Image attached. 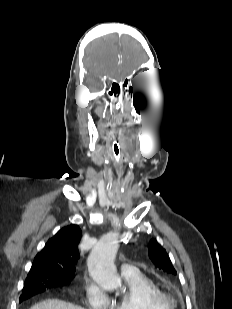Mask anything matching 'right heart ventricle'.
Listing matches in <instances>:
<instances>
[{
  "label": "right heart ventricle",
  "mask_w": 232,
  "mask_h": 309,
  "mask_svg": "<svg viewBox=\"0 0 232 309\" xmlns=\"http://www.w3.org/2000/svg\"><path fill=\"white\" fill-rule=\"evenodd\" d=\"M123 279L125 291L110 300L108 309H165L160 301L163 292L149 277L137 271Z\"/></svg>",
  "instance_id": "right-heart-ventricle-1"
}]
</instances>
